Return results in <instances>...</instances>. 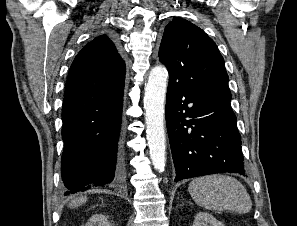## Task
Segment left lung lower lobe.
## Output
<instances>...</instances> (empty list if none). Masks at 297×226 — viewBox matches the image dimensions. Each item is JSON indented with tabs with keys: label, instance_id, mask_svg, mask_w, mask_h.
<instances>
[{
	"label": "left lung lower lobe",
	"instance_id": "obj_1",
	"mask_svg": "<svg viewBox=\"0 0 297 226\" xmlns=\"http://www.w3.org/2000/svg\"><path fill=\"white\" fill-rule=\"evenodd\" d=\"M231 97L169 78L166 124L175 181L223 172L247 176Z\"/></svg>",
	"mask_w": 297,
	"mask_h": 226
}]
</instances>
